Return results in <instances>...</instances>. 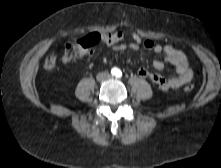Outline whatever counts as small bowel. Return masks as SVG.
<instances>
[{
  "label": "small bowel",
  "mask_w": 221,
  "mask_h": 168,
  "mask_svg": "<svg viewBox=\"0 0 221 168\" xmlns=\"http://www.w3.org/2000/svg\"><path fill=\"white\" fill-rule=\"evenodd\" d=\"M107 45L111 46L114 52H123L126 50L137 51L140 49L132 43L125 44L123 42H118ZM143 48L155 54L162 55L161 58H156L152 61V65L156 70H163L165 63H169L175 67L177 75L170 78H164L159 74L149 72L145 68H140L138 70L139 76L151 80L161 90H176L192 80V69L189 66L186 55L182 51L170 45L162 46L156 44L151 40H146V45Z\"/></svg>",
  "instance_id": "small-bowel-1"
}]
</instances>
